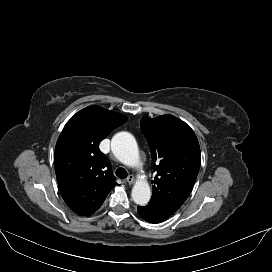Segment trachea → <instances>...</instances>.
<instances>
[{
    "label": "trachea",
    "mask_w": 272,
    "mask_h": 272,
    "mask_svg": "<svg viewBox=\"0 0 272 272\" xmlns=\"http://www.w3.org/2000/svg\"><path fill=\"white\" fill-rule=\"evenodd\" d=\"M116 175H117V177H119L121 179H125L128 176L127 171L122 167H119L116 170Z\"/></svg>",
    "instance_id": "3493384b"
}]
</instances>
